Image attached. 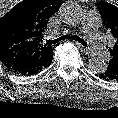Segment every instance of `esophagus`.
Here are the masks:
<instances>
[{
	"mask_svg": "<svg viewBox=\"0 0 118 118\" xmlns=\"http://www.w3.org/2000/svg\"><path fill=\"white\" fill-rule=\"evenodd\" d=\"M77 44L79 45V47L81 48L83 53H85L86 55H89V56L93 55V52L89 48L82 46L79 43H77Z\"/></svg>",
	"mask_w": 118,
	"mask_h": 118,
	"instance_id": "obj_1",
	"label": "esophagus"
}]
</instances>
